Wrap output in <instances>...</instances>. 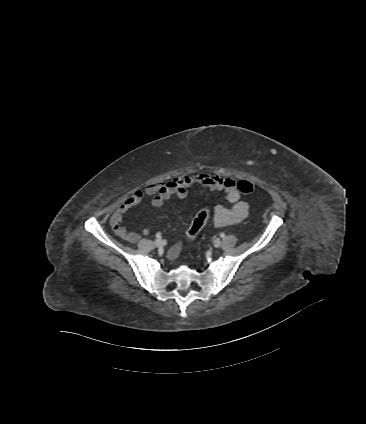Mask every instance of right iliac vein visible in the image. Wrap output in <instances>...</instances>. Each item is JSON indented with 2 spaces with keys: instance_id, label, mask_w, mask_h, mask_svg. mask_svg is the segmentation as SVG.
Listing matches in <instances>:
<instances>
[{
  "instance_id": "1",
  "label": "right iliac vein",
  "mask_w": 366,
  "mask_h": 424,
  "mask_svg": "<svg viewBox=\"0 0 366 424\" xmlns=\"http://www.w3.org/2000/svg\"><path fill=\"white\" fill-rule=\"evenodd\" d=\"M154 244L156 247H162L164 245V242L162 239L158 238L155 240Z\"/></svg>"
}]
</instances>
